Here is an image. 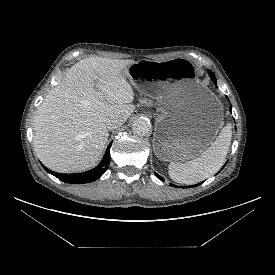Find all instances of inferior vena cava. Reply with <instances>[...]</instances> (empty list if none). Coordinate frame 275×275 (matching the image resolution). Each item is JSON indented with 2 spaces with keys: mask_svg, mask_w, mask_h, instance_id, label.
<instances>
[{
  "mask_svg": "<svg viewBox=\"0 0 275 275\" xmlns=\"http://www.w3.org/2000/svg\"><path fill=\"white\" fill-rule=\"evenodd\" d=\"M124 123V119L121 116L113 115L106 121V127L109 130L116 129Z\"/></svg>",
  "mask_w": 275,
  "mask_h": 275,
  "instance_id": "obj_1",
  "label": "inferior vena cava"
}]
</instances>
